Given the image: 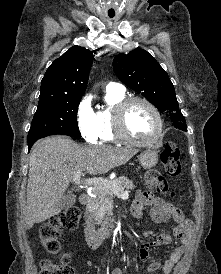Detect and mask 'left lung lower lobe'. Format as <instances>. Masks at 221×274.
Segmentation results:
<instances>
[{
    "label": "left lung lower lobe",
    "instance_id": "obj_1",
    "mask_svg": "<svg viewBox=\"0 0 221 274\" xmlns=\"http://www.w3.org/2000/svg\"><path fill=\"white\" fill-rule=\"evenodd\" d=\"M180 130L187 131V129H180Z\"/></svg>",
    "mask_w": 221,
    "mask_h": 274
}]
</instances>
